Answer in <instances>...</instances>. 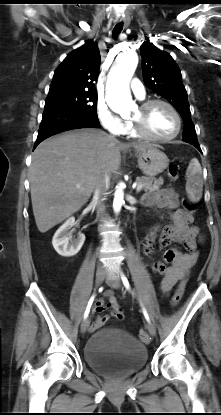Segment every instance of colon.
<instances>
[{"instance_id": "1", "label": "colon", "mask_w": 221, "mask_h": 415, "mask_svg": "<svg viewBox=\"0 0 221 415\" xmlns=\"http://www.w3.org/2000/svg\"><path fill=\"white\" fill-rule=\"evenodd\" d=\"M168 175L172 180H177L178 178V170L174 165H170L168 168ZM180 202L182 203V207H185L186 210H189L190 214L195 213L196 211V205L189 202L188 200H186L185 196H182L180 199ZM185 285H186V281L183 280L180 282L174 296L172 297L171 300V305L172 306H176L179 301L182 298V295L184 293V289H185ZM139 337L143 340V341H147L149 339L147 331L145 329H141L139 331Z\"/></svg>"}]
</instances>
